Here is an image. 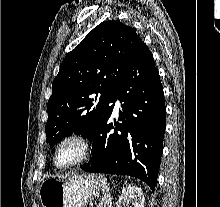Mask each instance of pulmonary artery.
Wrapping results in <instances>:
<instances>
[{"mask_svg":"<svg viewBox=\"0 0 220 207\" xmlns=\"http://www.w3.org/2000/svg\"><path fill=\"white\" fill-rule=\"evenodd\" d=\"M115 108H116V109H119V108H120V101H119V100H116Z\"/></svg>","mask_w":220,"mask_h":207,"instance_id":"pulmonary-artery-1","label":"pulmonary artery"}]
</instances>
